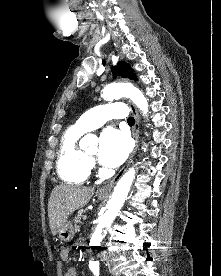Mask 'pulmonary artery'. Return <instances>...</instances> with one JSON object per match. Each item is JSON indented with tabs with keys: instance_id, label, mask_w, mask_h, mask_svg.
I'll return each instance as SVG.
<instances>
[{
	"instance_id": "obj_1",
	"label": "pulmonary artery",
	"mask_w": 221,
	"mask_h": 276,
	"mask_svg": "<svg viewBox=\"0 0 221 276\" xmlns=\"http://www.w3.org/2000/svg\"><path fill=\"white\" fill-rule=\"evenodd\" d=\"M128 116V109L123 103H112L97 106L84 113L76 122L75 127L87 132L102 126L110 119H124Z\"/></svg>"
}]
</instances>
